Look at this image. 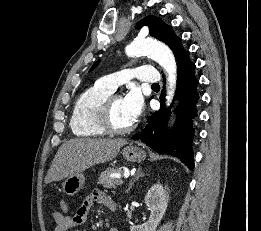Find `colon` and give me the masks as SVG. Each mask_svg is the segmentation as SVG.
Masks as SVG:
<instances>
[{
  "mask_svg": "<svg viewBox=\"0 0 261 231\" xmlns=\"http://www.w3.org/2000/svg\"><path fill=\"white\" fill-rule=\"evenodd\" d=\"M61 208H62V210L67 211L68 210V205L66 203H63Z\"/></svg>",
  "mask_w": 261,
  "mask_h": 231,
  "instance_id": "1",
  "label": "colon"
}]
</instances>
